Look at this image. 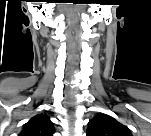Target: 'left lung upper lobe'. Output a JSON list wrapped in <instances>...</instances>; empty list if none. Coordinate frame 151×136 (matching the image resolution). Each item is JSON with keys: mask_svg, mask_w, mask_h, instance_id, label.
Listing matches in <instances>:
<instances>
[{"mask_svg": "<svg viewBox=\"0 0 151 136\" xmlns=\"http://www.w3.org/2000/svg\"><path fill=\"white\" fill-rule=\"evenodd\" d=\"M87 136H131L127 126L113 117L100 113L89 121Z\"/></svg>", "mask_w": 151, "mask_h": 136, "instance_id": "1", "label": "left lung upper lobe"}]
</instances>
